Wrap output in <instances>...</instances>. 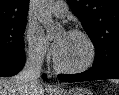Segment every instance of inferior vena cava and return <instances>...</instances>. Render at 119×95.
<instances>
[{
  "label": "inferior vena cava",
  "mask_w": 119,
  "mask_h": 95,
  "mask_svg": "<svg viewBox=\"0 0 119 95\" xmlns=\"http://www.w3.org/2000/svg\"><path fill=\"white\" fill-rule=\"evenodd\" d=\"M43 63V55L40 53H29L25 66L20 72L18 79L20 83L32 89L38 84L41 68Z\"/></svg>",
  "instance_id": "obj_1"
}]
</instances>
